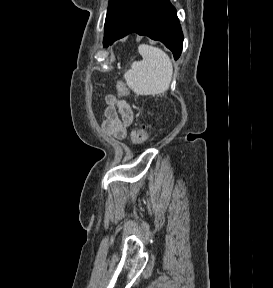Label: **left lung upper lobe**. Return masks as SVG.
I'll use <instances>...</instances> for the list:
<instances>
[{"label": "left lung upper lobe", "instance_id": "obj_1", "mask_svg": "<svg viewBox=\"0 0 273 288\" xmlns=\"http://www.w3.org/2000/svg\"><path fill=\"white\" fill-rule=\"evenodd\" d=\"M132 0H110L107 10L106 21L104 26V41L103 44L108 42L113 36L118 23Z\"/></svg>", "mask_w": 273, "mask_h": 288}]
</instances>
